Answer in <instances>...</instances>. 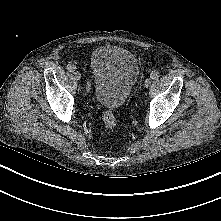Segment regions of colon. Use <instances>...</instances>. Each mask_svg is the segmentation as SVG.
Returning <instances> with one entry per match:
<instances>
[{
	"label": "colon",
	"mask_w": 221,
	"mask_h": 221,
	"mask_svg": "<svg viewBox=\"0 0 221 221\" xmlns=\"http://www.w3.org/2000/svg\"><path fill=\"white\" fill-rule=\"evenodd\" d=\"M102 119H103L104 126L107 130L112 131L115 129L117 125V121L112 110L110 109L104 110Z\"/></svg>",
	"instance_id": "colon-1"
}]
</instances>
